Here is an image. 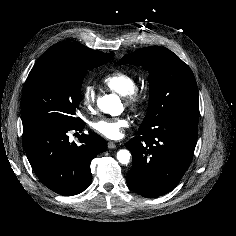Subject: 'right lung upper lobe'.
<instances>
[{
  "mask_svg": "<svg viewBox=\"0 0 236 236\" xmlns=\"http://www.w3.org/2000/svg\"><path fill=\"white\" fill-rule=\"evenodd\" d=\"M63 47L66 52L77 59L92 58L104 54L103 52L91 50L88 47L74 42H59L50 48Z\"/></svg>",
  "mask_w": 236,
  "mask_h": 236,
  "instance_id": "obj_1",
  "label": "right lung upper lobe"
}]
</instances>
